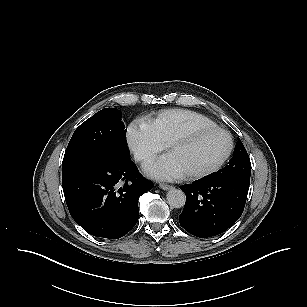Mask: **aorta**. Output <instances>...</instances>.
Listing matches in <instances>:
<instances>
[{"instance_id": "obj_1", "label": "aorta", "mask_w": 307, "mask_h": 307, "mask_svg": "<svg viewBox=\"0 0 307 307\" xmlns=\"http://www.w3.org/2000/svg\"><path fill=\"white\" fill-rule=\"evenodd\" d=\"M167 203L172 208H181L185 205L186 196L180 189L171 188L166 195Z\"/></svg>"}]
</instances>
